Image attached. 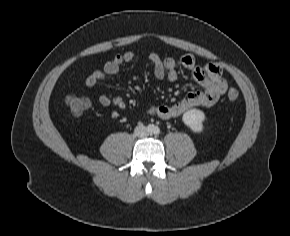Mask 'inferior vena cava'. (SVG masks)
Segmentation results:
<instances>
[{
    "label": "inferior vena cava",
    "instance_id": "602c4592",
    "mask_svg": "<svg viewBox=\"0 0 290 236\" xmlns=\"http://www.w3.org/2000/svg\"><path fill=\"white\" fill-rule=\"evenodd\" d=\"M134 134L138 137H145L148 135V130L143 124H140L135 128Z\"/></svg>",
    "mask_w": 290,
    "mask_h": 236
}]
</instances>
